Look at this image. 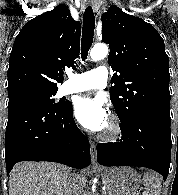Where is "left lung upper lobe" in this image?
<instances>
[{
  "label": "left lung upper lobe",
  "instance_id": "1",
  "mask_svg": "<svg viewBox=\"0 0 178 195\" xmlns=\"http://www.w3.org/2000/svg\"><path fill=\"white\" fill-rule=\"evenodd\" d=\"M101 21L102 39L110 47L108 63L116 71L110 99L121 123L143 115L171 120L169 59L160 34L117 6Z\"/></svg>",
  "mask_w": 178,
  "mask_h": 195
}]
</instances>
